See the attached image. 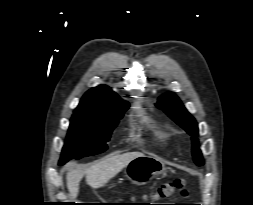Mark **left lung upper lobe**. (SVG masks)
I'll return each mask as SVG.
<instances>
[{
  "instance_id": "1",
  "label": "left lung upper lobe",
  "mask_w": 253,
  "mask_h": 205,
  "mask_svg": "<svg viewBox=\"0 0 253 205\" xmlns=\"http://www.w3.org/2000/svg\"><path fill=\"white\" fill-rule=\"evenodd\" d=\"M156 106L164 110L168 116L192 136V153L197 165H203L202 154L198 148V125L195 119L187 112L181 101L174 93L162 95Z\"/></svg>"
}]
</instances>
